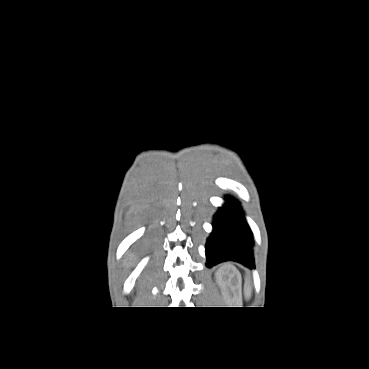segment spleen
<instances>
[{"label":"spleen","mask_w":369,"mask_h":369,"mask_svg":"<svg viewBox=\"0 0 369 369\" xmlns=\"http://www.w3.org/2000/svg\"><path fill=\"white\" fill-rule=\"evenodd\" d=\"M247 287L250 289L251 287H250V283H249V281H247Z\"/></svg>","instance_id":"1"}]
</instances>
